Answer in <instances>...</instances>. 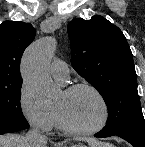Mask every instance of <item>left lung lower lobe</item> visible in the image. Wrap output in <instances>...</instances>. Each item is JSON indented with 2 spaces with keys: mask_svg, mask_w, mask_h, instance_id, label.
<instances>
[{
  "mask_svg": "<svg viewBox=\"0 0 145 147\" xmlns=\"http://www.w3.org/2000/svg\"><path fill=\"white\" fill-rule=\"evenodd\" d=\"M96 137L105 138L109 136H119L128 141L133 147H145V134L138 133H119L107 134L102 131L95 134Z\"/></svg>",
  "mask_w": 145,
  "mask_h": 147,
  "instance_id": "1",
  "label": "left lung lower lobe"
}]
</instances>
